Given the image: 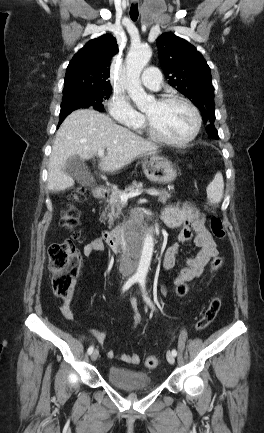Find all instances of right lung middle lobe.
Wrapping results in <instances>:
<instances>
[{
	"instance_id": "1",
	"label": "right lung middle lobe",
	"mask_w": 264,
	"mask_h": 433,
	"mask_svg": "<svg viewBox=\"0 0 264 433\" xmlns=\"http://www.w3.org/2000/svg\"><path fill=\"white\" fill-rule=\"evenodd\" d=\"M111 87L92 91L76 92L63 98L60 111V120H64L73 110L78 108H93L103 111V101L111 95Z\"/></svg>"
}]
</instances>
